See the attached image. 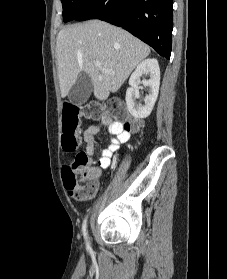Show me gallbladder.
I'll list each match as a JSON object with an SVG mask.
<instances>
[{
	"label": "gallbladder",
	"mask_w": 227,
	"mask_h": 279,
	"mask_svg": "<svg viewBox=\"0 0 227 279\" xmlns=\"http://www.w3.org/2000/svg\"><path fill=\"white\" fill-rule=\"evenodd\" d=\"M92 92V81L85 72L81 73L68 94V100L72 105L81 106Z\"/></svg>",
	"instance_id": "gallbladder-1"
}]
</instances>
